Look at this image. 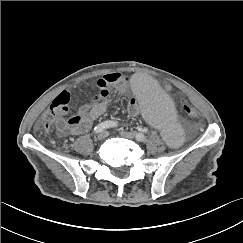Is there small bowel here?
Listing matches in <instances>:
<instances>
[{
  "instance_id": "small-bowel-1",
  "label": "small bowel",
  "mask_w": 243,
  "mask_h": 243,
  "mask_svg": "<svg viewBox=\"0 0 243 243\" xmlns=\"http://www.w3.org/2000/svg\"><path fill=\"white\" fill-rule=\"evenodd\" d=\"M96 85L97 93L92 99L85 102L75 115L65 119L62 115L67 111L58 114L56 128L60 135H81L88 132L93 122L107 111L111 103V88L125 94L130 86V79L119 73L106 74L97 80ZM139 112L140 107L133 99L128 107V113L131 116H137Z\"/></svg>"
}]
</instances>
